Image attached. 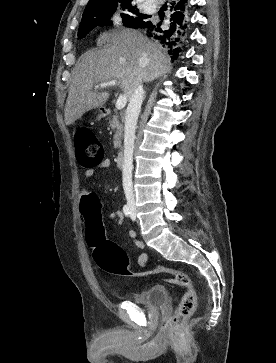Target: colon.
I'll use <instances>...</instances> for the list:
<instances>
[{"label": "colon", "mask_w": 276, "mask_h": 363, "mask_svg": "<svg viewBox=\"0 0 276 363\" xmlns=\"http://www.w3.org/2000/svg\"><path fill=\"white\" fill-rule=\"evenodd\" d=\"M75 150L81 164L93 167L103 160V147L96 135L89 128H80L75 133ZM87 242L93 247V259L104 271L115 275L132 274L128 267L130 259L126 252L115 242L104 237V228L98 212L87 217ZM156 271L169 276L175 284L184 290L182 299L176 309L173 325H178L189 317L197 306L198 294L191 276L182 270L159 266Z\"/></svg>", "instance_id": "obj_1"}]
</instances>
